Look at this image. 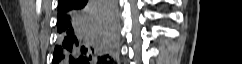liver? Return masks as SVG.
<instances>
[{"label":"liver","instance_id":"liver-1","mask_svg":"<svg viewBox=\"0 0 242 64\" xmlns=\"http://www.w3.org/2000/svg\"><path fill=\"white\" fill-rule=\"evenodd\" d=\"M99 27H100V25H99ZM100 30L105 31V30H104L103 28H101V27H100Z\"/></svg>","mask_w":242,"mask_h":64}]
</instances>
